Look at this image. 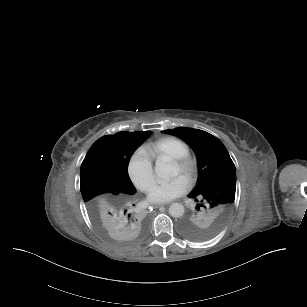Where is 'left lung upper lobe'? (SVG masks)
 I'll return each mask as SVG.
<instances>
[{"instance_id": "1", "label": "left lung upper lobe", "mask_w": 307, "mask_h": 307, "mask_svg": "<svg viewBox=\"0 0 307 307\" xmlns=\"http://www.w3.org/2000/svg\"><path fill=\"white\" fill-rule=\"evenodd\" d=\"M164 132L188 143L197 157L199 176L188 195L197 206L180 222V230L192 240L209 239L222 229L234 202L235 165L223 143L205 131L178 127Z\"/></svg>"}]
</instances>
